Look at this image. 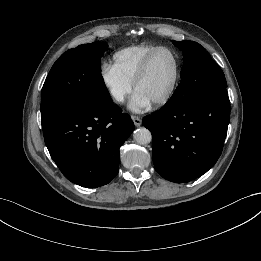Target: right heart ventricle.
<instances>
[{
  "label": "right heart ventricle",
  "mask_w": 261,
  "mask_h": 261,
  "mask_svg": "<svg viewBox=\"0 0 261 261\" xmlns=\"http://www.w3.org/2000/svg\"><path fill=\"white\" fill-rule=\"evenodd\" d=\"M158 47L140 44L122 48L113 54L112 66L118 73L133 83L145 58Z\"/></svg>",
  "instance_id": "1"
}]
</instances>
